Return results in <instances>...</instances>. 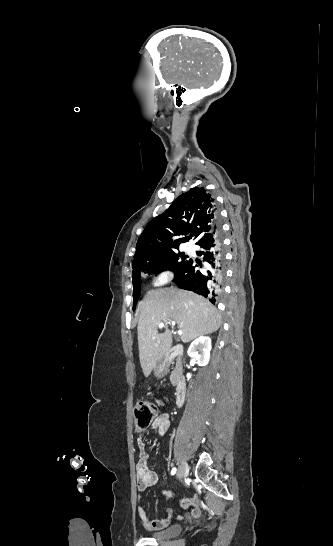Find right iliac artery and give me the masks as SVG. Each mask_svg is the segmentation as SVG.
I'll return each mask as SVG.
<instances>
[{"label": "right iliac artery", "instance_id": "obj_1", "mask_svg": "<svg viewBox=\"0 0 333 546\" xmlns=\"http://www.w3.org/2000/svg\"><path fill=\"white\" fill-rule=\"evenodd\" d=\"M177 469L174 467L172 470H171V475H174L176 473Z\"/></svg>", "mask_w": 333, "mask_h": 546}]
</instances>
